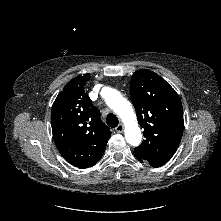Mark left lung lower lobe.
I'll list each match as a JSON object with an SVG mask.
<instances>
[{
	"label": "left lung lower lobe",
	"instance_id": "obj_1",
	"mask_svg": "<svg viewBox=\"0 0 221 221\" xmlns=\"http://www.w3.org/2000/svg\"><path fill=\"white\" fill-rule=\"evenodd\" d=\"M140 162H143V160H141L140 158L136 157Z\"/></svg>",
	"mask_w": 221,
	"mask_h": 221
}]
</instances>
